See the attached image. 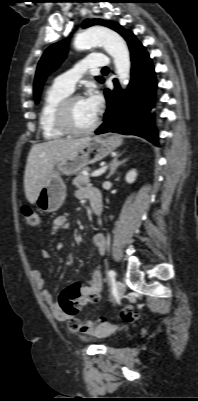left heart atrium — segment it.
<instances>
[{"instance_id":"obj_1","label":"left heart atrium","mask_w":198,"mask_h":401,"mask_svg":"<svg viewBox=\"0 0 198 401\" xmlns=\"http://www.w3.org/2000/svg\"><path fill=\"white\" fill-rule=\"evenodd\" d=\"M85 100L90 108L98 114L103 105V97L101 92L97 88L92 87L90 88Z\"/></svg>"}]
</instances>
